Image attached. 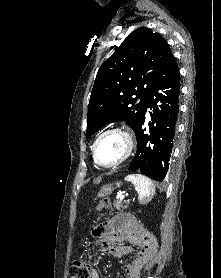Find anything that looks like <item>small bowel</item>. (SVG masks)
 Masks as SVG:
<instances>
[{
    "label": "small bowel",
    "instance_id": "obj_1",
    "mask_svg": "<svg viewBox=\"0 0 221 278\" xmlns=\"http://www.w3.org/2000/svg\"><path fill=\"white\" fill-rule=\"evenodd\" d=\"M95 235L105 238L107 247L104 251L115 257L129 255L139 249L133 260L124 266L127 278H140L142 267L157 250L155 238L136 217L128 214L116 215L103 228H97ZM90 278L102 277L92 269Z\"/></svg>",
    "mask_w": 221,
    "mask_h": 278
}]
</instances>
